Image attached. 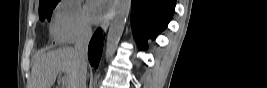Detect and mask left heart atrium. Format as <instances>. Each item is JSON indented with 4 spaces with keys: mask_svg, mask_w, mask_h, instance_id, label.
Here are the masks:
<instances>
[{
    "mask_svg": "<svg viewBox=\"0 0 267 88\" xmlns=\"http://www.w3.org/2000/svg\"><path fill=\"white\" fill-rule=\"evenodd\" d=\"M107 4L104 1L91 0L86 3L85 12L90 22L99 23L107 14Z\"/></svg>",
    "mask_w": 267,
    "mask_h": 88,
    "instance_id": "39dd6f15",
    "label": "left heart atrium"
}]
</instances>
